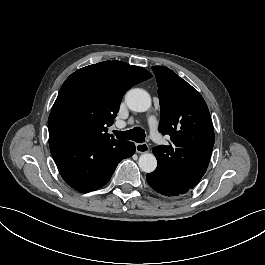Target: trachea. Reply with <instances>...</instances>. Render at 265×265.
<instances>
[{"instance_id": "3493384b", "label": "trachea", "mask_w": 265, "mask_h": 265, "mask_svg": "<svg viewBox=\"0 0 265 265\" xmlns=\"http://www.w3.org/2000/svg\"><path fill=\"white\" fill-rule=\"evenodd\" d=\"M117 139L132 140L137 143L145 141V131L140 127H135L128 131H114Z\"/></svg>"}]
</instances>
